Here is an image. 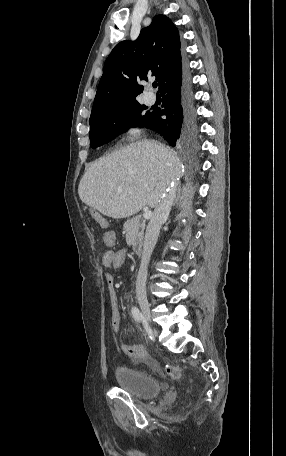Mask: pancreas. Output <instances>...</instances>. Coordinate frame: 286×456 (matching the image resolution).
<instances>
[{
    "mask_svg": "<svg viewBox=\"0 0 286 456\" xmlns=\"http://www.w3.org/2000/svg\"><path fill=\"white\" fill-rule=\"evenodd\" d=\"M145 223L141 221L140 217H134L127 220L123 225V230L126 233L127 245H136L140 243L144 235Z\"/></svg>",
    "mask_w": 286,
    "mask_h": 456,
    "instance_id": "cf45deb5",
    "label": "pancreas"
}]
</instances>
